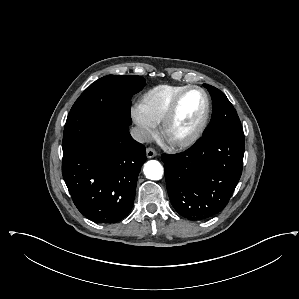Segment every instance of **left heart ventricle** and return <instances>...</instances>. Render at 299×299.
Wrapping results in <instances>:
<instances>
[{
    "label": "left heart ventricle",
    "mask_w": 299,
    "mask_h": 299,
    "mask_svg": "<svg viewBox=\"0 0 299 299\" xmlns=\"http://www.w3.org/2000/svg\"><path fill=\"white\" fill-rule=\"evenodd\" d=\"M204 98L199 91H190L182 99L171 128V136L179 139L189 134L204 112Z\"/></svg>",
    "instance_id": "obj_1"
}]
</instances>
